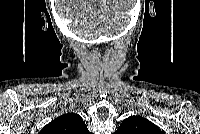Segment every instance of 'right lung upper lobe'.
Wrapping results in <instances>:
<instances>
[{
    "instance_id": "right-lung-upper-lobe-1",
    "label": "right lung upper lobe",
    "mask_w": 200,
    "mask_h": 134,
    "mask_svg": "<svg viewBox=\"0 0 200 134\" xmlns=\"http://www.w3.org/2000/svg\"><path fill=\"white\" fill-rule=\"evenodd\" d=\"M42 134H88L86 124L82 118L75 113L64 114L49 124L42 130Z\"/></svg>"
}]
</instances>
